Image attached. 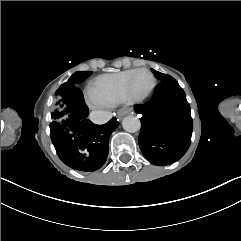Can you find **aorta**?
<instances>
[{
	"label": "aorta",
	"mask_w": 241,
	"mask_h": 241,
	"mask_svg": "<svg viewBox=\"0 0 241 241\" xmlns=\"http://www.w3.org/2000/svg\"><path fill=\"white\" fill-rule=\"evenodd\" d=\"M122 126L125 131L135 133L140 130L141 122L138 117L129 115L122 120Z\"/></svg>",
	"instance_id": "762f6f07"
}]
</instances>
